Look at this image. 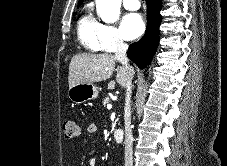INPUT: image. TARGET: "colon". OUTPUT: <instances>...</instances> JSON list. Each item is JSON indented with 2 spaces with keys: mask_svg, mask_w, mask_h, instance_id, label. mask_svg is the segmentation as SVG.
Listing matches in <instances>:
<instances>
[{
  "mask_svg": "<svg viewBox=\"0 0 227 166\" xmlns=\"http://www.w3.org/2000/svg\"><path fill=\"white\" fill-rule=\"evenodd\" d=\"M63 134L65 139L74 140L79 137V129L76 123L72 120H66L63 123Z\"/></svg>",
  "mask_w": 227,
  "mask_h": 166,
  "instance_id": "colon-1",
  "label": "colon"
}]
</instances>
